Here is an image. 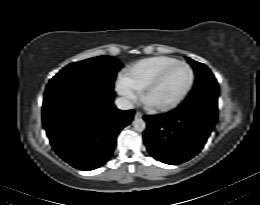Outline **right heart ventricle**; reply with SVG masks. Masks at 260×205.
<instances>
[{
	"instance_id": "e07e8e85",
	"label": "right heart ventricle",
	"mask_w": 260,
	"mask_h": 205,
	"mask_svg": "<svg viewBox=\"0 0 260 205\" xmlns=\"http://www.w3.org/2000/svg\"><path fill=\"white\" fill-rule=\"evenodd\" d=\"M178 61L171 56H154L138 61L123 75L133 88L141 91L147 83L164 67Z\"/></svg>"
}]
</instances>
